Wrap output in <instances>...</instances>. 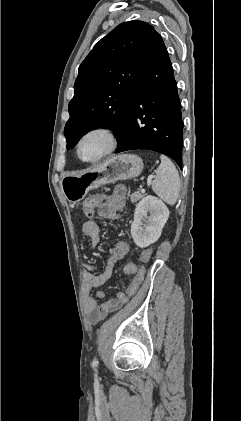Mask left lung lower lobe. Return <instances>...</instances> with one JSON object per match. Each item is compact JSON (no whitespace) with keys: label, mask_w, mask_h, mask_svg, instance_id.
<instances>
[{"label":"left lung lower lobe","mask_w":241,"mask_h":421,"mask_svg":"<svg viewBox=\"0 0 241 421\" xmlns=\"http://www.w3.org/2000/svg\"><path fill=\"white\" fill-rule=\"evenodd\" d=\"M115 153L153 150L182 168L183 121L171 61L159 35L141 73L125 133Z\"/></svg>","instance_id":"obj_1"}]
</instances>
